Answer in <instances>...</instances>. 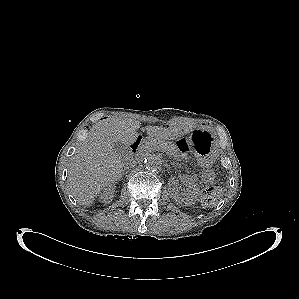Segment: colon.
<instances>
[{
	"instance_id": "obj_1",
	"label": "colon",
	"mask_w": 299,
	"mask_h": 299,
	"mask_svg": "<svg viewBox=\"0 0 299 299\" xmlns=\"http://www.w3.org/2000/svg\"><path fill=\"white\" fill-rule=\"evenodd\" d=\"M203 181L207 186L203 189L201 194V201L204 205H211L217 198L219 186L214 182L215 173L208 169L203 173Z\"/></svg>"
}]
</instances>
